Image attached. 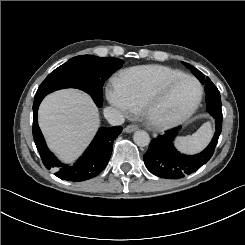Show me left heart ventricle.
<instances>
[{"label": "left heart ventricle", "instance_id": "obj_1", "mask_svg": "<svg viewBox=\"0 0 245 245\" xmlns=\"http://www.w3.org/2000/svg\"><path fill=\"white\" fill-rule=\"evenodd\" d=\"M196 96V85L192 81L183 80L160 90L155 100L160 112L179 115L194 103Z\"/></svg>", "mask_w": 245, "mask_h": 245}]
</instances>
